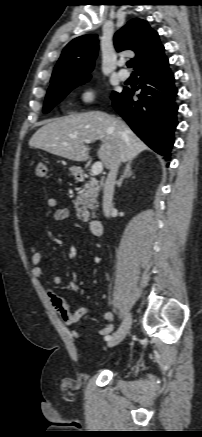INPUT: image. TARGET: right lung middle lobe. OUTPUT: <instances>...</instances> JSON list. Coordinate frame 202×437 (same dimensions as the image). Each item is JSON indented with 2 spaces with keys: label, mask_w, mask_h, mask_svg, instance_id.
I'll return each mask as SVG.
<instances>
[{
  "label": "right lung middle lobe",
  "mask_w": 202,
  "mask_h": 437,
  "mask_svg": "<svg viewBox=\"0 0 202 437\" xmlns=\"http://www.w3.org/2000/svg\"><path fill=\"white\" fill-rule=\"evenodd\" d=\"M90 75L72 78L66 81L52 84L47 92L43 112L48 113L55 105H57L72 89L89 81ZM118 94L113 92V95Z\"/></svg>",
  "instance_id": "right-lung-middle-lobe-1"
}]
</instances>
